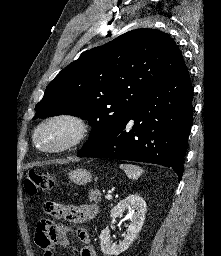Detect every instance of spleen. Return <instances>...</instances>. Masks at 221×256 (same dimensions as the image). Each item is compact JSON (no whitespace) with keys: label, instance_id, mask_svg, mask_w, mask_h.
Masks as SVG:
<instances>
[{"label":"spleen","instance_id":"obj_1","mask_svg":"<svg viewBox=\"0 0 221 256\" xmlns=\"http://www.w3.org/2000/svg\"><path fill=\"white\" fill-rule=\"evenodd\" d=\"M120 168L125 171L130 179H138L143 173V169L136 165L121 164Z\"/></svg>","mask_w":221,"mask_h":256}]
</instances>
